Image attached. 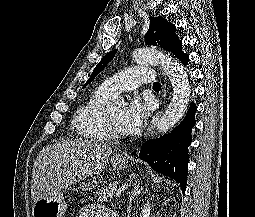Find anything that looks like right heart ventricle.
I'll use <instances>...</instances> for the list:
<instances>
[{
    "mask_svg": "<svg viewBox=\"0 0 255 217\" xmlns=\"http://www.w3.org/2000/svg\"><path fill=\"white\" fill-rule=\"evenodd\" d=\"M112 96L102 85L98 86L75 112L72 126L77 133L88 140H108L105 115L106 102Z\"/></svg>",
    "mask_w": 255,
    "mask_h": 217,
    "instance_id": "1",
    "label": "right heart ventricle"
}]
</instances>
